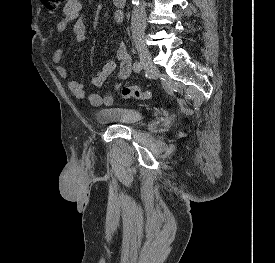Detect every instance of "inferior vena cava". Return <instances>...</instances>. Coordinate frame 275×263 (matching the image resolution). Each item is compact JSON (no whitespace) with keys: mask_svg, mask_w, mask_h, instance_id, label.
Instances as JSON below:
<instances>
[{"mask_svg":"<svg viewBox=\"0 0 275 263\" xmlns=\"http://www.w3.org/2000/svg\"><path fill=\"white\" fill-rule=\"evenodd\" d=\"M131 28L133 34H142L146 28V11L144 3L141 1L138 5L134 6L132 18H131Z\"/></svg>","mask_w":275,"mask_h":263,"instance_id":"1","label":"inferior vena cava"}]
</instances>
